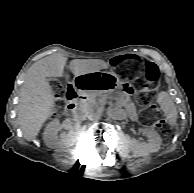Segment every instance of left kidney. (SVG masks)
Listing matches in <instances>:
<instances>
[{
  "label": "left kidney",
  "mask_w": 194,
  "mask_h": 193,
  "mask_svg": "<svg viewBox=\"0 0 194 193\" xmlns=\"http://www.w3.org/2000/svg\"><path fill=\"white\" fill-rule=\"evenodd\" d=\"M142 131L148 137V143H138L131 140L129 143L130 150L137 156H146L149 153L157 152L162 142L160 135L154 129L145 128Z\"/></svg>",
  "instance_id": "1"
}]
</instances>
